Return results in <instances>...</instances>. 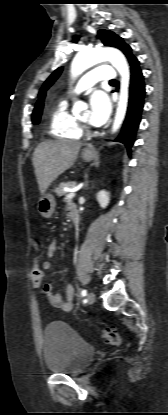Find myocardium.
Here are the masks:
<instances>
[{
  "mask_svg": "<svg viewBox=\"0 0 168 415\" xmlns=\"http://www.w3.org/2000/svg\"><path fill=\"white\" fill-rule=\"evenodd\" d=\"M77 122H78L82 132H85L86 134H94L95 133V131L90 127V125L88 124L87 121H84V120H82L78 117Z\"/></svg>",
  "mask_w": 168,
  "mask_h": 415,
  "instance_id": "f54148a6",
  "label": "myocardium"
}]
</instances>
